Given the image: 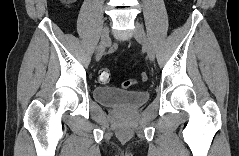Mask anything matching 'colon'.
Masks as SVG:
<instances>
[{
    "instance_id": "5ec220e1",
    "label": "colon",
    "mask_w": 239,
    "mask_h": 156,
    "mask_svg": "<svg viewBox=\"0 0 239 156\" xmlns=\"http://www.w3.org/2000/svg\"><path fill=\"white\" fill-rule=\"evenodd\" d=\"M98 80L100 83H107L110 80V71L107 68H103L99 72ZM147 80V75L145 73H142L138 80H126L123 82L122 86L123 88L127 89L134 85H136L139 82H144Z\"/></svg>"
}]
</instances>
